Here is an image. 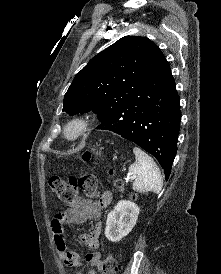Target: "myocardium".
I'll return each mask as SVG.
<instances>
[{
	"instance_id": "myocardium-1",
	"label": "myocardium",
	"mask_w": 221,
	"mask_h": 274,
	"mask_svg": "<svg viewBox=\"0 0 221 274\" xmlns=\"http://www.w3.org/2000/svg\"><path fill=\"white\" fill-rule=\"evenodd\" d=\"M90 129V120L82 115L70 118L63 126L62 136L67 141H75Z\"/></svg>"
}]
</instances>
